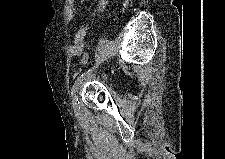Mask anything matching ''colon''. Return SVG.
Returning <instances> with one entry per match:
<instances>
[{
    "label": "colon",
    "instance_id": "obj_1",
    "mask_svg": "<svg viewBox=\"0 0 225 159\" xmlns=\"http://www.w3.org/2000/svg\"><path fill=\"white\" fill-rule=\"evenodd\" d=\"M129 2L130 0H123L122 10H125L127 8V6L129 5ZM82 61L85 65H89L91 63V54L88 51H86L83 54Z\"/></svg>",
    "mask_w": 225,
    "mask_h": 159
}]
</instances>
